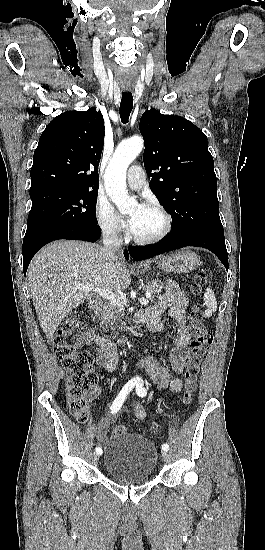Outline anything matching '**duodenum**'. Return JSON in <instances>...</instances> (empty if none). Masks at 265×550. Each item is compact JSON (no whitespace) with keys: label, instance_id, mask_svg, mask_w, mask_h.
Wrapping results in <instances>:
<instances>
[{"label":"duodenum","instance_id":"obj_1","mask_svg":"<svg viewBox=\"0 0 265 550\" xmlns=\"http://www.w3.org/2000/svg\"><path fill=\"white\" fill-rule=\"evenodd\" d=\"M101 307V302L99 300H92L89 304V309L92 312H97ZM140 328V325L138 324L135 329L126 335H124L122 338L119 339L118 343L120 346L125 347L129 343L132 342V340L138 335V330Z\"/></svg>","mask_w":265,"mask_h":550}]
</instances>
